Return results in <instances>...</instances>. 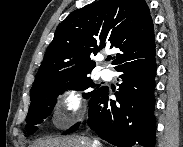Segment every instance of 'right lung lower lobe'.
I'll list each match as a JSON object with an SVG mask.
<instances>
[{
    "label": "right lung lower lobe",
    "mask_w": 183,
    "mask_h": 147,
    "mask_svg": "<svg viewBox=\"0 0 183 147\" xmlns=\"http://www.w3.org/2000/svg\"><path fill=\"white\" fill-rule=\"evenodd\" d=\"M122 83L117 101L106 87L99 88L89 101L88 125L103 140L118 146L155 145L154 89L155 53L126 61L116 68ZM75 124L63 134L74 132Z\"/></svg>",
    "instance_id": "right-lung-lower-lobe-1"
}]
</instances>
